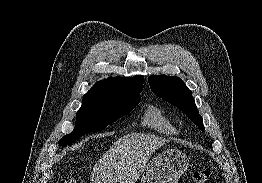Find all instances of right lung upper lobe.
Listing matches in <instances>:
<instances>
[{"instance_id": "cb5924a9", "label": "right lung upper lobe", "mask_w": 262, "mask_h": 183, "mask_svg": "<svg viewBox=\"0 0 262 183\" xmlns=\"http://www.w3.org/2000/svg\"><path fill=\"white\" fill-rule=\"evenodd\" d=\"M144 77L134 76L110 77L98 81L85 95L83 99H95L102 101H127L140 99L143 89Z\"/></svg>"}]
</instances>
